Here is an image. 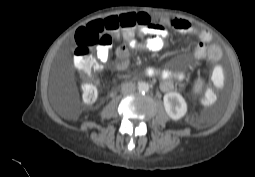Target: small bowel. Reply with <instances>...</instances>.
Here are the masks:
<instances>
[{"label": "small bowel", "mask_w": 255, "mask_h": 177, "mask_svg": "<svg viewBox=\"0 0 255 177\" xmlns=\"http://www.w3.org/2000/svg\"><path fill=\"white\" fill-rule=\"evenodd\" d=\"M86 27V26H85ZM168 27L180 33H190L197 35L198 43L193 49L194 57L198 61L208 59L212 63H217L221 56V49L217 45H210L211 34L206 30H199L188 20L178 17H158L152 24L139 30L136 34L129 35L125 42L115 51V68L124 70L128 67L131 53L134 49L143 48L148 51L158 52L165 47L168 37ZM111 47H100L96 53L97 64H104L110 58ZM145 75L150 77H161L160 87L163 91H170L174 88L173 80L182 81L184 74L180 71L170 69L147 68Z\"/></svg>", "instance_id": "obj_1"}]
</instances>
